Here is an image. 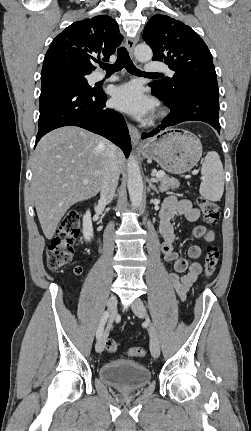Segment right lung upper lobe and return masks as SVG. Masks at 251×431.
Masks as SVG:
<instances>
[{
  "mask_svg": "<svg viewBox=\"0 0 251 431\" xmlns=\"http://www.w3.org/2000/svg\"><path fill=\"white\" fill-rule=\"evenodd\" d=\"M121 41L118 24L107 15L77 21L51 42L43 68L55 61H67L93 71L96 57L108 61Z\"/></svg>",
  "mask_w": 251,
  "mask_h": 431,
  "instance_id": "right-lung-upper-lobe-1",
  "label": "right lung upper lobe"
}]
</instances>
